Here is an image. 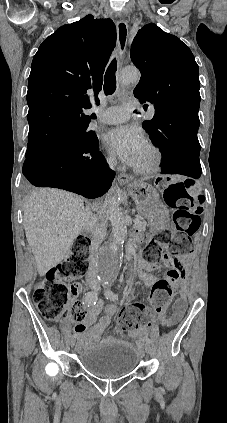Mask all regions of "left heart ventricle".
Segmentation results:
<instances>
[{
	"mask_svg": "<svg viewBox=\"0 0 227 423\" xmlns=\"http://www.w3.org/2000/svg\"><path fill=\"white\" fill-rule=\"evenodd\" d=\"M153 155L152 151L146 147L141 155L140 161L136 166H145L152 161Z\"/></svg>",
	"mask_w": 227,
	"mask_h": 423,
	"instance_id": "left-heart-ventricle-1",
	"label": "left heart ventricle"
}]
</instances>
